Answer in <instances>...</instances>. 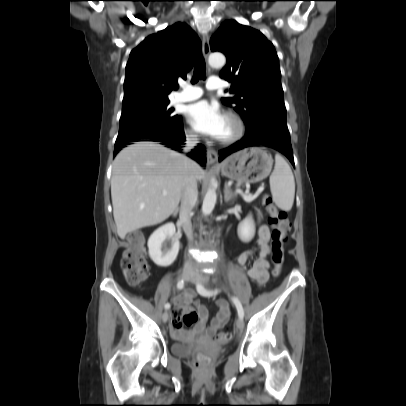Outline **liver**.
Segmentation results:
<instances>
[{
	"label": "liver",
	"instance_id": "liver-1",
	"mask_svg": "<svg viewBox=\"0 0 406 406\" xmlns=\"http://www.w3.org/2000/svg\"><path fill=\"white\" fill-rule=\"evenodd\" d=\"M185 165L183 155L155 142H136L120 151L112 166L111 198L121 239L163 222L175 211L184 189ZM192 166L201 181L205 171L193 161Z\"/></svg>",
	"mask_w": 406,
	"mask_h": 406
}]
</instances>
